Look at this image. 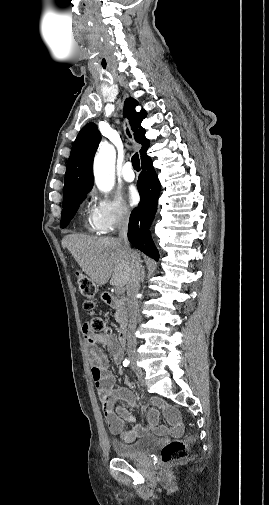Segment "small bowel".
<instances>
[{"mask_svg":"<svg viewBox=\"0 0 269 505\" xmlns=\"http://www.w3.org/2000/svg\"><path fill=\"white\" fill-rule=\"evenodd\" d=\"M83 334L88 341L92 378L110 432L125 441H133L151 430L158 435L181 436L184 425L179 413L159 397L151 398L150 409L144 423L134 424L129 429L125 428V424L134 422V418L125 407H115V403L123 400L139 410V399L134 392L127 388H114L115 378L109 370L108 358L102 350V348H106L114 361L120 363L123 357V347L114 335L92 334L85 325L83 326ZM160 412L166 416L169 427L158 424Z\"/></svg>","mask_w":269,"mask_h":505,"instance_id":"c3829d8e","label":"small bowel"}]
</instances>
